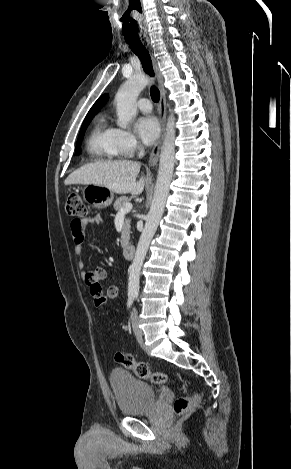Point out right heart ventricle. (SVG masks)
<instances>
[{
  "instance_id": "1",
  "label": "right heart ventricle",
  "mask_w": 291,
  "mask_h": 469,
  "mask_svg": "<svg viewBox=\"0 0 291 469\" xmlns=\"http://www.w3.org/2000/svg\"><path fill=\"white\" fill-rule=\"evenodd\" d=\"M86 149L88 154L97 160H111L119 155L114 143V128L104 114L95 119L89 133Z\"/></svg>"
}]
</instances>
